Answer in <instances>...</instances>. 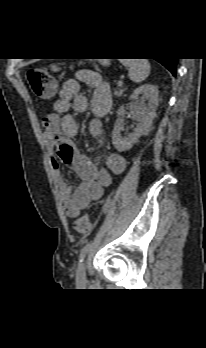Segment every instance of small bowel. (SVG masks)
Here are the masks:
<instances>
[{
	"instance_id": "small-bowel-1",
	"label": "small bowel",
	"mask_w": 206,
	"mask_h": 348,
	"mask_svg": "<svg viewBox=\"0 0 206 348\" xmlns=\"http://www.w3.org/2000/svg\"><path fill=\"white\" fill-rule=\"evenodd\" d=\"M82 85L92 89L90 100L81 94ZM111 106L110 87L101 75L91 70H80L61 86L58 99L53 105V113L43 119L51 165L69 218L77 217L92 201L100 199L104 189L112 184V175L121 174L126 168L125 158L116 152L108 153L105 156V166L99 169L77 151L70 138L77 135L79 124L70 111L84 113L90 110L94 118L89 124V132L94 138L103 140L105 128L102 118ZM60 163L69 166L82 179L75 190L62 178Z\"/></svg>"
}]
</instances>
